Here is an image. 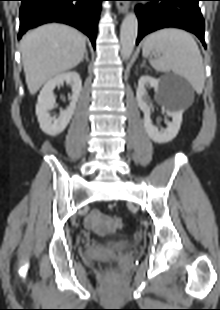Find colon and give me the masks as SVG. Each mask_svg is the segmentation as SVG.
<instances>
[{"instance_id": "obj_1", "label": "colon", "mask_w": 220, "mask_h": 310, "mask_svg": "<svg viewBox=\"0 0 220 310\" xmlns=\"http://www.w3.org/2000/svg\"><path fill=\"white\" fill-rule=\"evenodd\" d=\"M122 225H123V221L120 217H114L112 219H109L108 221V227L110 228L111 232H114L120 229Z\"/></svg>"}]
</instances>
